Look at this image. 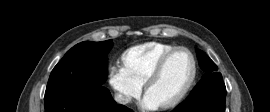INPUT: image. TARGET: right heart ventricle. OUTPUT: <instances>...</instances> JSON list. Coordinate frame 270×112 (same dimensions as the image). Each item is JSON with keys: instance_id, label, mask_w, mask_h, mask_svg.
<instances>
[{"instance_id": "e07e8e85", "label": "right heart ventricle", "mask_w": 270, "mask_h": 112, "mask_svg": "<svg viewBox=\"0 0 270 112\" xmlns=\"http://www.w3.org/2000/svg\"><path fill=\"white\" fill-rule=\"evenodd\" d=\"M175 47L155 41L133 46L123 54L124 66L139 83L144 84L158 60Z\"/></svg>"}]
</instances>
